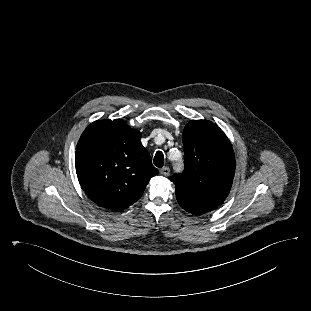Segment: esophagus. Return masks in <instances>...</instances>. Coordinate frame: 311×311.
I'll return each instance as SVG.
<instances>
[{
  "label": "esophagus",
  "instance_id": "obj_1",
  "mask_svg": "<svg viewBox=\"0 0 311 311\" xmlns=\"http://www.w3.org/2000/svg\"><path fill=\"white\" fill-rule=\"evenodd\" d=\"M160 174L167 177L170 174V169L168 167H163L160 169Z\"/></svg>",
  "mask_w": 311,
  "mask_h": 311
}]
</instances>
